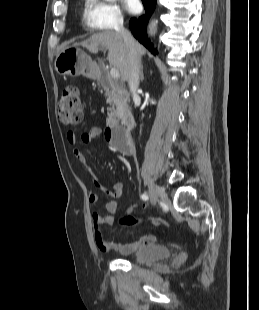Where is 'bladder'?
Here are the masks:
<instances>
[{
  "label": "bladder",
  "mask_w": 259,
  "mask_h": 310,
  "mask_svg": "<svg viewBox=\"0 0 259 310\" xmlns=\"http://www.w3.org/2000/svg\"><path fill=\"white\" fill-rule=\"evenodd\" d=\"M171 250L160 244H147L139 248L130 258L134 264H148L169 258Z\"/></svg>",
  "instance_id": "31cf9c89"
}]
</instances>
